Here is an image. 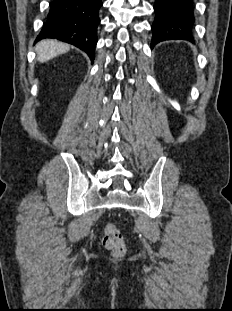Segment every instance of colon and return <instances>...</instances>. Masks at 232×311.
<instances>
[{
	"instance_id": "1",
	"label": "colon",
	"mask_w": 232,
	"mask_h": 311,
	"mask_svg": "<svg viewBox=\"0 0 232 311\" xmlns=\"http://www.w3.org/2000/svg\"><path fill=\"white\" fill-rule=\"evenodd\" d=\"M102 244L115 256H121L126 251L123 236L118 227L113 223H108L105 225Z\"/></svg>"
}]
</instances>
